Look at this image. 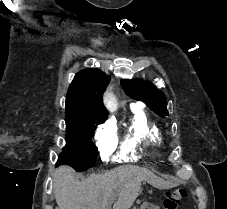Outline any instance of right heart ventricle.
Returning <instances> with one entry per match:
<instances>
[{"mask_svg":"<svg viewBox=\"0 0 227 209\" xmlns=\"http://www.w3.org/2000/svg\"><path fill=\"white\" fill-rule=\"evenodd\" d=\"M164 136L160 126L142 111L132 109L129 124L120 140L113 160L117 163L138 161L145 147L161 148Z\"/></svg>","mask_w":227,"mask_h":209,"instance_id":"right-heart-ventricle-1","label":"right heart ventricle"}]
</instances>
